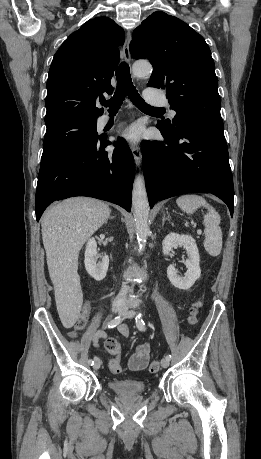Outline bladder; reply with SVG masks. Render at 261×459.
Returning <instances> with one entry per match:
<instances>
[{
    "label": "bladder",
    "instance_id": "bladder-1",
    "mask_svg": "<svg viewBox=\"0 0 261 459\" xmlns=\"http://www.w3.org/2000/svg\"><path fill=\"white\" fill-rule=\"evenodd\" d=\"M107 386L113 393L122 396L138 395L147 390L144 382L135 379H111Z\"/></svg>",
    "mask_w": 261,
    "mask_h": 459
}]
</instances>
